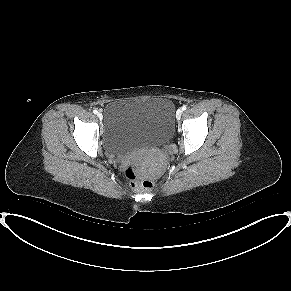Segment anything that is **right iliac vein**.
<instances>
[{
    "label": "right iliac vein",
    "mask_w": 291,
    "mask_h": 291,
    "mask_svg": "<svg viewBox=\"0 0 291 291\" xmlns=\"http://www.w3.org/2000/svg\"><path fill=\"white\" fill-rule=\"evenodd\" d=\"M97 116H98L99 119H102V117H103V115H102L101 112H98V113H97Z\"/></svg>",
    "instance_id": "63e3f726"
}]
</instances>
